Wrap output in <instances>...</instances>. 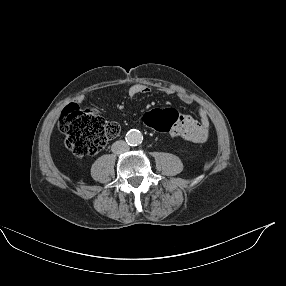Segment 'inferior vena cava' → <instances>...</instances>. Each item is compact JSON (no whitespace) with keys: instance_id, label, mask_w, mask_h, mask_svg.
<instances>
[{"instance_id":"1","label":"inferior vena cava","mask_w":286,"mask_h":286,"mask_svg":"<svg viewBox=\"0 0 286 286\" xmlns=\"http://www.w3.org/2000/svg\"><path fill=\"white\" fill-rule=\"evenodd\" d=\"M129 150L128 144L123 140H118L113 143L112 151L116 154H121Z\"/></svg>"}]
</instances>
